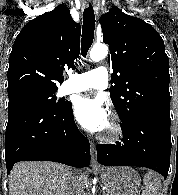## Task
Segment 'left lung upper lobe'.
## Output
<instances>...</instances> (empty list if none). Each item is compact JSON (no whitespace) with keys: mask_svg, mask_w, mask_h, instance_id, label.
<instances>
[{"mask_svg":"<svg viewBox=\"0 0 178 195\" xmlns=\"http://www.w3.org/2000/svg\"><path fill=\"white\" fill-rule=\"evenodd\" d=\"M100 23L113 69L110 96L122 124L140 117L171 121L169 60L158 32L117 7Z\"/></svg>","mask_w":178,"mask_h":195,"instance_id":"left-lung-upper-lobe-1","label":"left lung upper lobe"}]
</instances>
